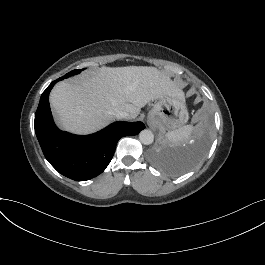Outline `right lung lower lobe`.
Instances as JSON below:
<instances>
[{
  "label": "right lung lower lobe",
  "mask_w": 265,
  "mask_h": 265,
  "mask_svg": "<svg viewBox=\"0 0 265 265\" xmlns=\"http://www.w3.org/2000/svg\"><path fill=\"white\" fill-rule=\"evenodd\" d=\"M60 80L62 77L42 93L35 114V133L46 159L59 173L76 181L89 180L106 169L121 137L136 135L145 125L142 122H115L88 136L59 130L53 122L48 97Z\"/></svg>",
  "instance_id": "98d812e1"
}]
</instances>
